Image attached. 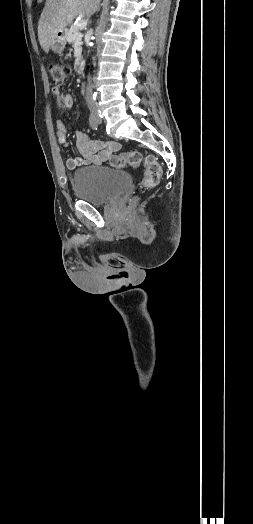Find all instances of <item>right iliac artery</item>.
Segmentation results:
<instances>
[{
  "label": "right iliac artery",
  "instance_id": "obj_1",
  "mask_svg": "<svg viewBox=\"0 0 253 524\" xmlns=\"http://www.w3.org/2000/svg\"><path fill=\"white\" fill-rule=\"evenodd\" d=\"M89 125L93 130H97L98 128L97 120L92 113L89 115Z\"/></svg>",
  "mask_w": 253,
  "mask_h": 524
}]
</instances>
